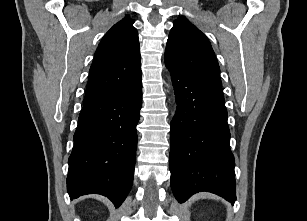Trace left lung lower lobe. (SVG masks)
Masks as SVG:
<instances>
[{
	"mask_svg": "<svg viewBox=\"0 0 307 221\" xmlns=\"http://www.w3.org/2000/svg\"><path fill=\"white\" fill-rule=\"evenodd\" d=\"M177 109L171 122V187L179 203L207 191L234 204V156L224 96L205 87L165 57Z\"/></svg>",
	"mask_w": 307,
	"mask_h": 221,
	"instance_id": "left-lung-lower-lobe-1",
	"label": "left lung lower lobe"
}]
</instances>
